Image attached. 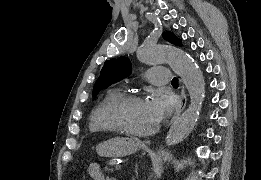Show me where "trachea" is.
I'll list each match as a JSON object with an SVG mask.
<instances>
[{
	"mask_svg": "<svg viewBox=\"0 0 261 180\" xmlns=\"http://www.w3.org/2000/svg\"><path fill=\"white\" fill-rule=\"evenodd\" d=\"M172 84H178V78H173L171 81Z\"/></svg>",
	"mask_w": 261,
	"mask_h": 180,
	"instance_id": "trachea-1",
	"label": "trachea"
}]
</instances>
